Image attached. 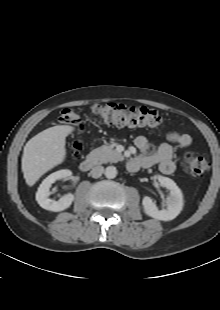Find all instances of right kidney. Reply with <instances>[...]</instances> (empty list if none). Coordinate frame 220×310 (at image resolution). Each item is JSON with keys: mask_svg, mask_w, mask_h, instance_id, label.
<instances>
[{"mask_svg": "<svg viewBox=\"0 0 220 310\" xmlns=\"http://www.w3.org/2000/svg\"><path fill=\"white\" fill-rule=\"evenodd\" d=\"M71 175L72 172L70 170L63 169L46 177L36 192V201L38 204L42 208L53 212H59L69 208L74 200V196L71 193L64 195L58 201L49 199L48 197L50 195V187L56 180L68 179Z\"/></svg>", "mask_w": 220, "mask_h": 310, "instance_id": "obj_1", "label": "right kidney"}]
</instances>
